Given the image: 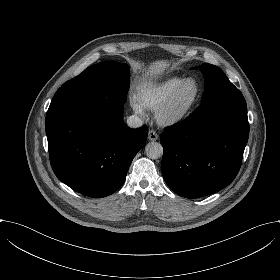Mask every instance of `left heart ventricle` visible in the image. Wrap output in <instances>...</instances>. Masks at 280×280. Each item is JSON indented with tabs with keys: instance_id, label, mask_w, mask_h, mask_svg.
Returning <instances> with one entry per match:
<instances>
[{
	"instance_id": "obj_1",
	"label": "left heart ventricle",
	"mask_w": 280,
	"mask_h": 280,
	"mask_svg": "<svg viewBox=\"0 0 280 280\" xmlns=\"http://www.w3.org/2000/svg\"><path fill=\"white\" fill-rule=\"evenodd\" d=\"M198 95V84L195 80H189L183 87L176 100V109L181 110L190 106Z\"/></svg>"
}]
</instances>
